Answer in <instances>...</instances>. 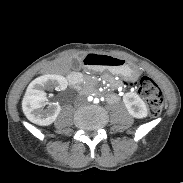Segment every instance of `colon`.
Segmentation results:
<instances>
[{
  "label": "colon",
  "instance_id": "obj_1",
  "mask_svg": "<svg viewBox=\"0 0 183 183\" xmlns=\"http://www.w3.org/2000/svg\"><path fill=\"white\" fill-rule=\"evenodd\" d=\"M120 61L108 56L93 55L87 59V64L92 66L120 65ZM127 85L130 82H125ZM139 93L146 100L150 116H158L164 105L162 91L158 84L150 77L144 76L139 80Z\"/></svg>",
  "mask_w": 183,
  "mask_h": 183
}]
</instances>
